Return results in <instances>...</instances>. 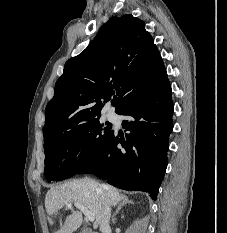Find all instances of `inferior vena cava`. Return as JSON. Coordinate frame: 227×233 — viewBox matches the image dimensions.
I'll return each mask as SVG.
<instances>
[{
    "label": "inferior vena cava",
    "mask_w": 227,
    "mask_h": 233,
    "mask_svg": "<svg viewBox=\"0 0 227 233\" xmlns=\"http://www.w3.org/2000/svg\"><path fill=\"white\" fill-rule=\"evenodd\" d=\"M103 199V211H102V219L100 222V231L102 233H106L110 230L109 221L111 216V206L105 198V195L102 196Z\"/></svg>",
    "instance_id": "602c4592"
}]
</instances>
